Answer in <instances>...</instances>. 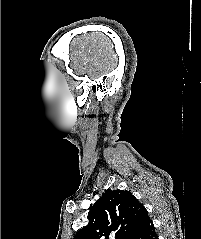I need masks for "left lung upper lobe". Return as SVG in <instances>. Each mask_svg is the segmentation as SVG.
<instances>
[{"instance_id":"1","label":"left lung upper lobe","mask_w":201,"mask_h":239,"mask_svg":"<svg viewBox=\"0 0 201 239\" xmlns=\"http://www.w3.org/2000/svg\"><path fill=\"white\" fill-rule=\"evenodd\" d=\"M89 223L73 239H130L149 220L145 207L130 191L108 189L93 206Z\"/></svg>"}]
</instances>
